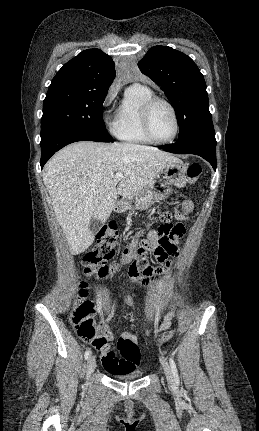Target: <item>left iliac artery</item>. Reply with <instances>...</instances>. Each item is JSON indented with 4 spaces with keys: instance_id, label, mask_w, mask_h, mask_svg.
Listing matches in <instances>:
<instances>
[{
    "instance_id": "44dca946",
    "label": "left iliac artery",
    "mask_w": 259,
    "mask_h": 431,
    "mask_svg": "<svg viewBox=\"0 0 259 431\" xmlns=\"http://www.w3.org/2000/svg\"><path fill=\"white\" fill-rule=\"evenodd\" d=\"M169 362H170V366H171V370L174 376V380L176 383H179V375H178V371H177V367L175 364V361L172 357L169 358Z\"/></svg>"
}]
</instances>
